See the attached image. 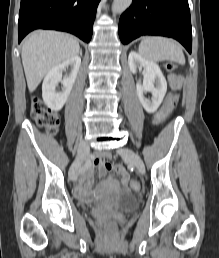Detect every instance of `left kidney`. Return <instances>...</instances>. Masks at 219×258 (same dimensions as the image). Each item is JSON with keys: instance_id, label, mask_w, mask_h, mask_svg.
I'll list each match as a JSON object with an SVG mask.
<instances>
[{"instance_id": "left-kidney-1", "label": "left kidney", "mask_w": 219, "mask_h": 258, "mask_svg": "<svg viewBox=\"0 0 219 258\" xmlns=\"http://www.w3.org/2000/svg\"><path fill=\"white\" fill-rule=\"evenodd\" d=\"M128 64L132 73H136L138 68H143V84L137 83V95L140 103L148 113H154L163 101L167 91L166 79L160 67L153 61L144 59L138 53L131 51L128 56ZM147 92L152 93V99L144 97Z\"/></svg>"}]
</instances>
